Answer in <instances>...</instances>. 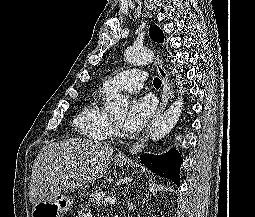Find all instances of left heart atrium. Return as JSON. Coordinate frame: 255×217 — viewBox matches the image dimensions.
<instances>
[{
  "instance_id": "1",
  "label": "left heart atrium",
  "mask_w": 255,
  "mask_h": 217,
  "mask_svg": "<svg viewBox=\"0 0 255 217\" xmlns=\"http://www.w3.org/2000/svg\"><path fill=\"white\" fill-rule=\"evenodd\" d=\"M154 111L153 101L149 98L133 99L128 113L122 120V128L128 134L139 133L147 124Z\"/></svg>"
}]
</instances>
